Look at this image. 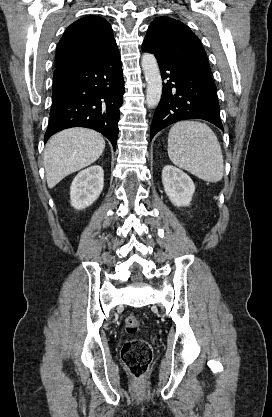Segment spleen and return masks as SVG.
Returning <instances> with one entry per match:
<instances>
[{
	"mask_svg": "<svg viewBox=\"0 0 272 417\" xmlns=\"http://www.w3.org/2000/svg\"><path fill=\"white\" fill-rule=\"evenodd\" d=\"M168 156L173 164L198 178L216 183L224 173L220 143L205 123L182 121L170 129Z\"/></svg>",
	"mask_w": 272,
	"mask_h": 417,
	"instance_id": "obj_1",
	"label": "spleen"
}]
</instances>
